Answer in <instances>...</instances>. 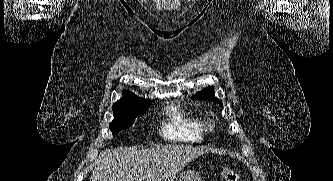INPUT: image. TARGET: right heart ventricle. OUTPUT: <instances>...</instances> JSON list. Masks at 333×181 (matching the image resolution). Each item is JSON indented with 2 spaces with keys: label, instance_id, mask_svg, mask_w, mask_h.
<instances>
[{
  "label": "right heart ventricle",
  "instance_id": "e07e8e85",
  "mask_svg": "<svg viewBox=\"0 0 333 181\" xmlns=\"http://www.w3.org/2000/svg\"><path fill=\"white\" fill-rule=\"evenodd\" d=\"M166 116L162 126L164 138L176 142H198L203 138V123L197 115L172 105L166 110Z\"/></svg>",
  "mask_w": 333,
  "mask_h": 181
}]
</instances>
